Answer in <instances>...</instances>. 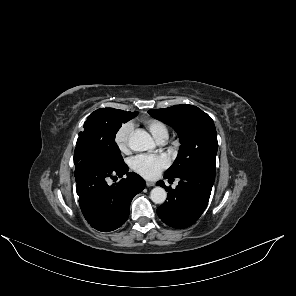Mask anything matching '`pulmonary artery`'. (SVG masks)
Wrapping results in <instances>:
<instances>
[{
  "label": "pulmonary artery",
  "instance_id": "e3ab8cb5",
  "mask_svg": "<svg viewBox=\"0 0 296 296\" xmlns=\"http://www.w3.org/2000/svg\"><path fill=\"white\" fill-rule=\"evenodd\" d=\"M166 139H167V138H162V139H159L157 142H158L159 144H164L165 141H166Z\"/></svg>",
  "mask_w": 296,
  "mask_h": 296
}]
</instances>
